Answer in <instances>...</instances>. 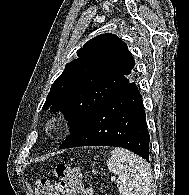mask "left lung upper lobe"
<instances>
[{"instance_id":"5c2ea615","label":"left lung upper lobe","mask_w":189,"mask_h":195,"mask_svg":"<svg viewBox=\"0 0 189 195\" xmlns=\"http://www.w3.org/2000/svg\"><path fill=\"white\" fill-rule=\"evenodd\" d=\"M52 84L43 109L61 111L72 133L111 95L131 83L135 61L127 45L114 34L89 40Z\"/></svg>"}]
</instances>
